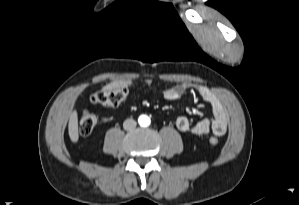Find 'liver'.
<instances>
[{
	"label": "liver",
	"mask_w": 299,
	"mask_h": 205,
	"mask_svg": "<svg viewBox=\"0 0 299 205\" xmlns=\"http://www.w3.org/2000/svg\"><path fill=\"white\" fill-rule=\"evenodd\" d=\"M68 132H69V137L72 142L76 143L79 139V134H78V115L77 111L74 110L69 118V123H68Z\"/></svg>",
	"instance_id": "obj_1"
}]
</instances>
